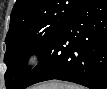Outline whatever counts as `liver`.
<instances>
[{
  "label": "liver",
  "instance_id": "1",
  "mask_svg": "<svg viewBox=\"0 0 107 89\" xmlns=\"http://www.w3.org/2000/svg\"><path fill=\"white\" fill-rule=\"evenodd\" d=\"M62 83L58 82H49V83H44L39 86H37L35 89H60L62 87Z\"/></svg>",
  "mask_w": 107,
  "mask_h": 89
}]
</instances>
